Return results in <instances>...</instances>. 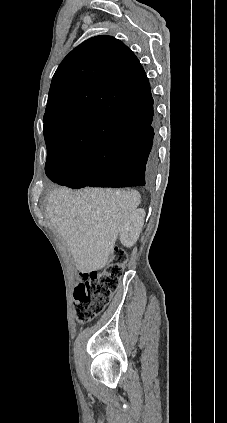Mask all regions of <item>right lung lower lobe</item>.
Returning <instances> with one entry per match:
<instances>
[{
	"label": "right lung lower lobe",
	"instance_id": "obj_1",
	"mask_svg": "<svg viewBox=\"0 0 227 423\" xmlns=\"http://www.w3.org/2000/svg\"><path fill=\"white\" fill-rule=\"evenodd\" d=\"M109 119H124L132 124L122 137L108 140L84 152L77 161L46 163L47 177L62 186L150 188L158 166L157 128L153 121L150 96L133 102L101 107Z\"/></svg>",
	"mask_w": 227,
	"mask_h": 423
}]
</instances>
